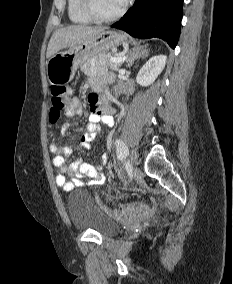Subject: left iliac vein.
<instances>
[{
  "label": "left iliac vein",
  "mask_w": 233,
  "mask_h": 284,
  "mask_svg": "<svg viewBox=\"0 0 233 284\" xmlns=\"http://www.w3.org/2000/svg\"><path fill=\"white\" fill-rule=\"evenodd\" d=\"M138 153L137 151L135 150H132V152L130 153V156H129V159L127 161V164L130 166V167H134L138 164Z\"/></svg>",
  "instance_id": "left-iliac-vein-1"
}]
</instances>
